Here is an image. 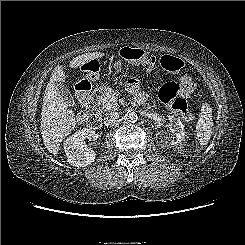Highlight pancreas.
<instances>
[{"instance_id": "1", "label": "pancreas", "mask_w": 245, "mask_h": 245, "mask_svg": "<svg viewBox=\"0 0 245 245\" xmlns=\"http://www.w3.org/2000/svg\"><path fill=\"white\" fill-rule=\"evenodd\" d=\"M118 95V91L109 90L105 94H103L98 100V107L101 111L107 113L111 111H116L119 109V105L117 102L111 100V97Z\"/></svg>"}]
</instances>
